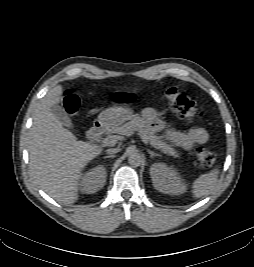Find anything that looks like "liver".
Wrapping results in <instances>:
<instances>
[{"mask_svg": "<svg viewBox=\"0 0 254 267\" xmlns=\"http://www.w3.org/2000/svg\"><path fill=\"white\" fill-rule=\"evenodd\" d=\"M62 94L61 85L54 87L35 109L28 152L36 183L57 202L70 205L78 198L82 170L102 149L77 140L51 112V107L62 100Z\"/></svg>", "mask_w": 254, "mask_h": 267, "instance_id": "6515ba94", "label": "liver"}]
</instances>
